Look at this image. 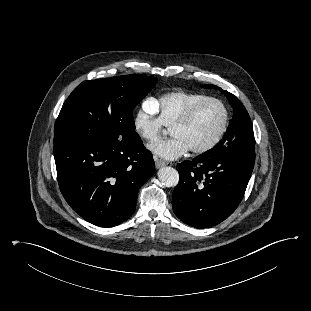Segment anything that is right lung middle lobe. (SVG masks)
<instances>
[{"label":"right lung middle lobe","mask_w":311,"mask_h":311,"mask_svg":"<svg viewBox=\"0 0 311 311\" xmlns=\"http://www.w3.org/2000/svg\"><path fill=\"white\" fill-rule=\"evenodd\" d=\"M156 83L155 77L135 74L81 83L62 106L55 124L54 144L67 140H138L132 111Z\"/></svg>","instance_id":"dd1d6c3e"}]
</instances>
